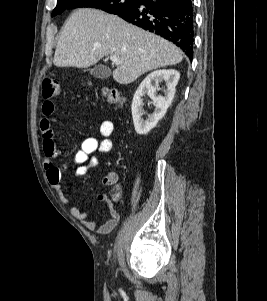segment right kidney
<instances>
[{
    "instance_id": "right-kidney-1",
    "label": "right kidney",
    "mask_w": 267,
    "mask_h": 301,
    "mask_svg": "<svg viewBox=\"0 0 267 301\" xmlns=\"http://www.w3.org/2000/svg\"><path fill=\"white\" fill-rule=\"evenodd\" d=\"M180 74L174 69H162L150 73L140 84L134 94L132 101V117L135 131L139 135H145L153 129L158 121L164 117L166 111L175 95V87L179 81ZM165 81L167 89L164 96L156 95V90L160 82ZM148 94L155 105L154 113L147 119H143V96Z\"/></svg>"
}]
</instances>
